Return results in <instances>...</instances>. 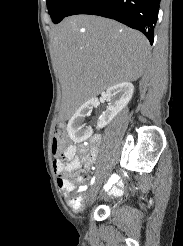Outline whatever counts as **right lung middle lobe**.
<instances>
[{
  "mask_svg": "<svg viewBox=\"0 0 183 246\" xmlns=\"http://www.w3.org/2000/svg\"><path fill=\"white\" fill-rule=\"evenodd\" d=\"M77 0H47L48 12L52 18L53 23H59Z\"/></svg>",
  "mask_w": 183,
  "mask_h": 246,
  "instance_id": "dd1d6c3e",
  "label": "right lung middle lobe"
}]
</instances>
